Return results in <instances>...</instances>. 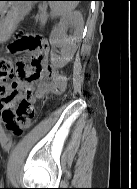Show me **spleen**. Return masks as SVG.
<instances>
[{
    "mask_svg": "<svg viewBox=\"0 0 137 189\" xmlns=\"http://www.w3.org/2000/svg\"><path fill=\"white\" fill-rule=\"evenodd\" d=\"M74 2L70 1H52L50 7L56 13L62 14L67 8H73Z\"/></svg>",
    "mask_w": 137,
    "mask_h": 189,
    "instance_id": "spleen-1",
    "label": "spleen"
}]
</instances>
